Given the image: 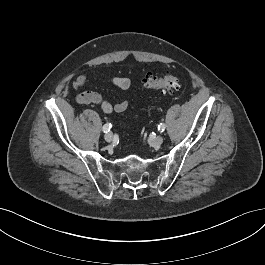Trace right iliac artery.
Listing matches in <instances>:
<instances>
[{
	"label": "right iliac artery",
	"instance_id": "obj_1",
	"mask_svg": "<svg viewBox=\"0 0 265 265\" xmlns=\"http://www.w3.org/2000/svg\"><path fill=\"white\" fill-rule=\"evenodd\" d=\"M111 127H112L111 123H106V124L103 126L102 130H103L104 133H107V132L110 131Z\"/></svg>",
	"mask_w": 265,
	"mask_h": 265
}]
</instances>
